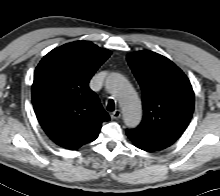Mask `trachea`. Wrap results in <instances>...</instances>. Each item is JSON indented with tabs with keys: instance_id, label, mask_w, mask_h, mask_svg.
Listing matches in <instances>:
<instances>
[{
	"instance_id": "trachea-1",
	"label": "trachea",
	"mask_w": 220,
	"mask_h": 196,
	"mask_svg": "<svg viewBox=\"0 0 220 196\" xmlns=\"http://www.w3.org/2000/svg\"><path fill=\"white\" fill-rule=\"evenodd\" d=\"M106 109H107L108 111H114V110H115L114 100L109 99Z\"/></svg>"
}]
</instances>
